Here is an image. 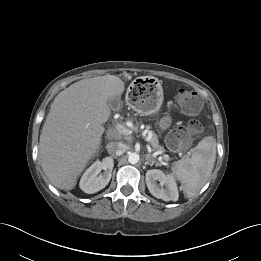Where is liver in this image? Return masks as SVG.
<instances>
[{"label": "liver", "mask_w": 261, "mask_h": 261, "mask_svg": "<svg viewBox=\"0 0 261 261\" xmlns=\"http://www.w3.org/2000/svg\"><path fill=\"white\" fill-rule=\"evenodd\" d=\"M114 75L80 80L60 92L51 104L40 135L43 172L57 188L71 190L88 161L101 145L103 123L110 116L107 104L124 92Z\"/></svg>", "instance_id": "6515ba94"}]
</instances>
